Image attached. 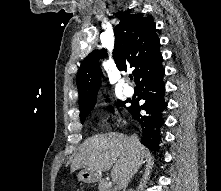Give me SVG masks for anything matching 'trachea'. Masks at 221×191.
I'll return each instance as SVG.
<instances>
[{"mask_svg":"<svg viewBox=\"0 0 221 191\" xmlns=\"http://www.w3.org/2000/svg\"><path fill=\"white\" fill-rule=\"evenodd\" d=\"M130 79L132 80V79H133V77H132V76H130Z\"/></svg>","mask_w":221,"mask_h":191,"instance_id":"1","label":"trachea"}]
</instances>
